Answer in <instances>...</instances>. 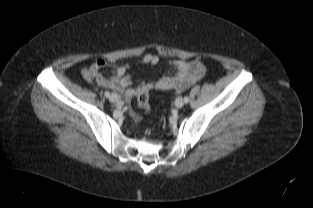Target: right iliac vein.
Returning <instances> with one entry per match:
<instances>
[{"mask_svg": "<svg viewBox=\"0 0 313 208\" xmlns=\"http://www.w3.org/2000/svg\"><path fill=\"white\" fill-rule=\"evenodd\" d=\"M110 102L117 103L119 101V96L116 93H112L109 97Z\"/></svg>", "mask_w": 313, "mask_h": 208, "instance_id": "63e3f726", "label": "right iliac vein"}]
</instances>
